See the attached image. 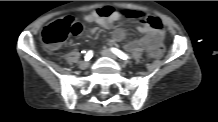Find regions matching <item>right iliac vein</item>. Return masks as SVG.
<instances>
[{
	"instance_id": "63e3f726",
	"label": "right iliac vein",
	"mask_w": 218,
	"mask_h": 122,
	"mask_svg": "<svg viewBox=\"0 0 218 122\" xmlns=\"http://www.w3.org/2000/svg\"><path fill=\"white\" fill-rule=\"evenodd\" d=\"M89 66V62L88 61H82L79 64V68L80 69H86Z\"/></svg>"
}]
</instances>
